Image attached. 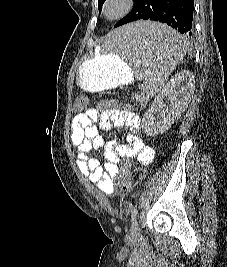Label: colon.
<instances>
[{
	"mask_svg": "<svg viewBox=\"0 0 227 267\" xmlns=\"http://www.w3.org/2000/svg\"><path fill=\"white\" fill-rule=\"evenodd\" d=\"M96 105H100L101 109H125L124 100H96ZM87 105L85 97H78L75 101L74 108L77 113H82L83 108ZM116 191L118 194H126L128 192H135V187H131V179L128 175V169H121V173H115Z\"/></svg>",
	"mask_w": 227,
	"mask_h": 267,
	"instance_id": "obj_1",
	"label": "colon"
}]
</instances>
